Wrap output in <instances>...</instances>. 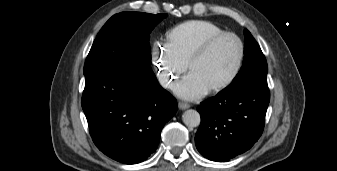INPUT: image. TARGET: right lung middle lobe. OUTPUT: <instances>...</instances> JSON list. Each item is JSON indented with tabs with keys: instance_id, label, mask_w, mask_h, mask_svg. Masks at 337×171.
<instances>
[{
	"instance_id": "right-lung-middle-lobe-1",
	"label": "right lung middle lobe",
	"mask_w": 337,
	"mask_h": 171,
	"mask_svg": "<svg viewBox=\"0 0 337 171\" xmlns=\"http://www.w3.org/2000/svg\"><path fill=\"white\" fill-rule=\"evenodd\" d=\"M166 17L167 14L141 12H122L112 16L91 47L84 74L105 65H120L137 72H150V33Z\"/></svg>"
}]
</instances>
